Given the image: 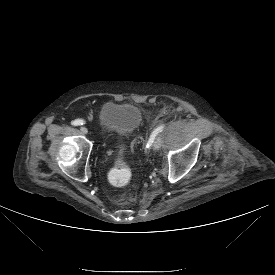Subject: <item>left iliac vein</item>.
Listing matches in <instances>:
<instances>
[{
    "instance_id": "1",
    "label": "left iliac vein",
    "mask_w": 275,
    "mask_h": 275,
    "mask_svg": "<svg viewBox=\"0 0 275 275\" xmlns=\"http://www.w3.org/2000/svg\"><path fill=\"white\" fill-rule=\"evenodd\" d=\"M162 145V138L160 136L156 137L153 142V149L158 150Z\"/></svg>"
}]
</instances>
